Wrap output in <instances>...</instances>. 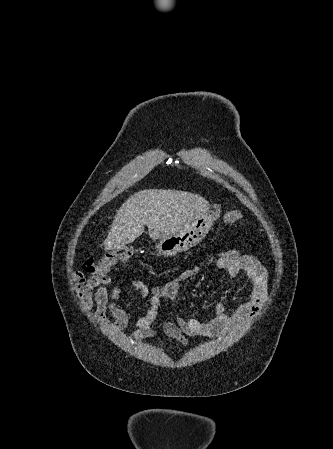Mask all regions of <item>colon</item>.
<instances>
[{"mask_svg":"<svg viewBox=\"0 0 333 449\" xmlns=\"http://www.w3.org/2000/svg\"><path fill=\"white\" fill-rule=\"evenodd\" d=\"M243 214L239 210L227 212L223 217L225 224H232L242 219ZM133 255L130 247H119L106 251L101 255L90 257L84 262V270L91 274H104L120 262L128 261Z\"/></svg>","mask_w":333,"mask_h":449,"instance_id":"colon-1","label":"colon"}]
</instances>
